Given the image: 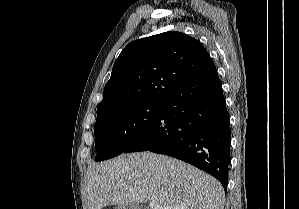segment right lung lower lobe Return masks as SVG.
<instances>
[{
  "mask_svg": "<svg viewBox=\"0 0 299 209\" xmlns=\"http://www.w3.org/2000/svg\"><path fill=\"white\" fill-rule=\"evenodd\" d=\"M230 118L217 70L184 81L164 102L156 121L124 153L152 151L188 162L228 184Z\"/></svg>",
  "mask_w": 299,
  "mask_h": 209,
  "instance_id": "98d812e1",
  "label": "right lung lower lobe"
}]
</instances>
